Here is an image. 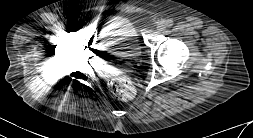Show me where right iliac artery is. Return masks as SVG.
<instances>
[{
  "label": "right iliac artery",
  "mask_w": 253,
  "mask_h": 138,
  "mask_svg": "<svg viewBox=\"0 0 253 138\" xmlns=\"http://www.w3.org/2000/svg\"><path fill=\"white\" fill-rule=\"evenodd\" d=\"M66 24H67L68 26H71V25L73 24V21H72L71 19H68V20L66 21Z\"/></svg>",
  "instance_id": "right-iliac-artery-1"
}]
</instances>
